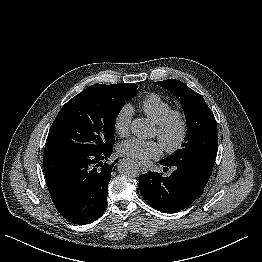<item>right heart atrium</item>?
Instances as JSON below:
<instances>
[{"label":"right heart atrium","instance_id":"right-heart-atrium-1","mask_svg":"<svg viewBox=\"0 0 262 262\" xmlns=\"http://www.w3.org/2000/svg\"><path fill=\"white\" fill-rule=\"evenodd\" d=\"M133 109L129 104L123 105L114 118V130L119 136H126L130 132Z\"/></svg>","mask_w":262,"mask_h":262}]
</instances>
